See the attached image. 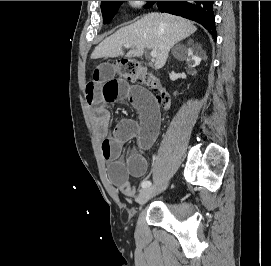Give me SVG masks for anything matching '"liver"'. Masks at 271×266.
<instances>
[{"mask_svg": "<svg viewBox=\"0 0 271 266\" xmlns=\"http://www.w3.org/2000/svg\"><path fill=\"white\" fill-rule=\"evenodd\" d=\"M196 30V26L189 20L167 13L152 12L102 41L93 51L91 59L122 56V47L130 45L132 53L137 56L143 55L145 49L157 51L155 68L161 69L167 61L170 49Z\"/></svg>", "mask_w": 271, "mask_h": 266, "instance_id": "1", "label": "liver"}]
</instances>
